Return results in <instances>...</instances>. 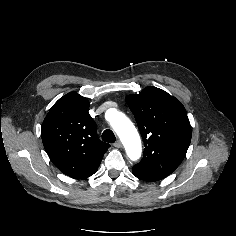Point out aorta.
Returning a JSON list of instances; mask_svg holds the SVG:
<instances>
[{"label": "aorta", "mask_w": 236, "mask_h": 236, "mask_svg": "<svg viewBox=\"0 0 236 236\" xmlns=\"http://www.w3.org/2000/svg\"><path fill=\"white\" fill-rule=\"evenodd\" d=\"M109 115H112L109 118L110 124L122 141L127 156L136 161L141 156V140L135 126L128 117L116 109H109L106 116Z\"/></svg>", "instance_id": "762f6f07"}]
</instances>
